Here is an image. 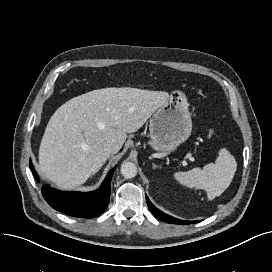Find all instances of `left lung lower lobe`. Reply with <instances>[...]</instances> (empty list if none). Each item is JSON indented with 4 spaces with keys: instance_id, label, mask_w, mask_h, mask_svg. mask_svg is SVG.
I'll return each mask as SVG.
<instances>
[{
    "instance_id": "0a47b994",
    "label": "left lung lower lobe",
    "mask_w": 272,
    "mask_h": 272,
    "mask_svg": "<svg viewBox=\"0 0 272 272\" xmlns=\"http://www.w3.org/2000/svg\"><path fill=\"white\" fill-rule=\"evenodd\" d=\"M146 201H147V204H148V207L149 209L151 210L152 214L162 220V221H165L167 223H174V224H181V225H186V224H193V223H197L199 221H182V220H179L177 218H174L172 216H169L165 213H163L162 211H160L159 209H157L151 202L150 200L148 199V197H146Z\"/></svg>"
}]
</instances>
